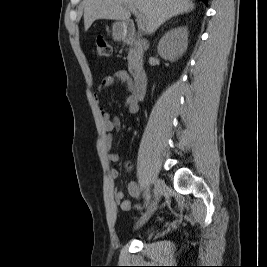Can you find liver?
Instances as JSON below:
<instances>
[{
  "label": "liver",
  "instance_id": "obj_1",
  "mask_svg": "<svg viewBox=\"0 0 267 267\" xmlns=\"http://www.w3.org/2000/svg\"><path fill=\"white\" fill-rule=\"evenodd\" d=\"M128 7L144 15L146 30L152 34L170 18L192 11L194 4L190 0H83L85 31L98 19L128 20Z\"/></svg>",
  "mask_w": 267,
  "mask_h": 267
}]
</instances>
